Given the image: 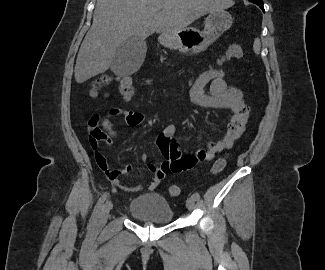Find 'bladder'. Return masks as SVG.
I'll use <instances>...</instances> for the list:
<instances>
[{
	"label": "bladder",
	"mask_w": 325,
	"mask_h": 270,
	"mask_svg": "<svg viewBox=\"0 0 325 270\" xmlns=\"http://www.w3.org/2000/svg\"><path fill=\"white\" fill-rule=\"evenodd\" d=\"M128 212L138 220L156 224L170 223L174 217L169 202L156 193L135 197L128 207Z\"/></svg>",
	"instance_id": "obj_1"
}]
</instances>
